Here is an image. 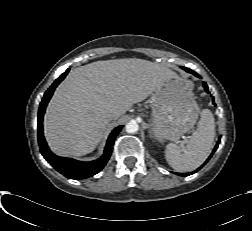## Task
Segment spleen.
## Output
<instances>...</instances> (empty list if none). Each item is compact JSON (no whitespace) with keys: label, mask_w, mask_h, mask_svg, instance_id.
Wrapping results in <instances>:
<instances>
[{"label":"spleen","mask_w":252,"mask_h":231,"mask_svg":"<svg viewBox=\"0 0 252 231\" xmlns=\"http://www.w3.org/2000/svg\"><path fill=\"white\" fill-rule=\"evenodd\" d=\"M215 138V121L212 112L204 109L196 131L186 146L170 143L166 146L168 164L178 172L193 171L210 155Z\"/></svg>","instance_id":"3e777b00"}]
</instances>
